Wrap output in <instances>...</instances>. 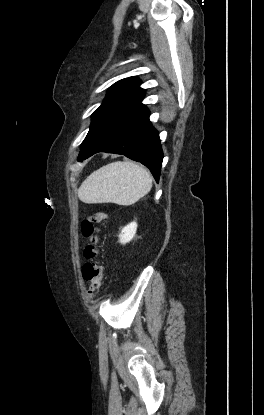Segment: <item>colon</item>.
I'll return each instance as SVG.
<instances>
[{
    "mask_svg": "<svg viewBox=\"0 0 264 415\" xmlns=\"http://www.w3.org/2000/svg\"><path fill=\"white\" fill-rule=\"evenodd\" d=\"M107 217L105 211H93L81 221V233L89 240L84 250V278L89 282L88 295L95 297L99 292L104 278V267L101 264V251L98 248L99 239L94 235L95 226Z\"/></svg>",
    "mask_w": 264,
    "mask_h": 415,
    "instance_id": "colon-1",
    "label": "colon"
}]
</instances>
